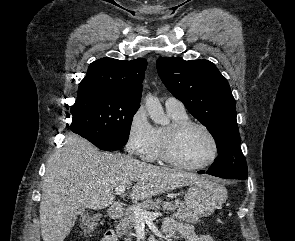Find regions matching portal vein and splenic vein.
<instances>
[{
    "instance_id": "1",
    "label": "portal vein and splenic vein",
    "mask_w": 295,
    "mask_h": 241,
    "mask_svg": "<svg viewBox=\"0 0 295 241\" xmlns=\"http://www.w3.org/2000/svg\"><path fill=\"white\" fill-rule=\"evenodd\" d=\"M126 187L125 186H118L115 188V194L120 195L125 192ZM135 218L137 221H147L157 218L161 215V213L158 212H149V211H143L141 208L136 207L134 209Z\"/></svg>"
}]
</instances>
